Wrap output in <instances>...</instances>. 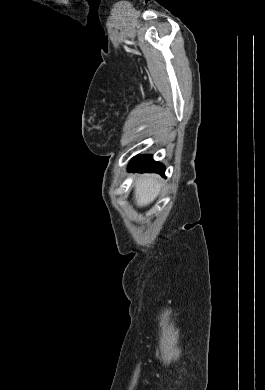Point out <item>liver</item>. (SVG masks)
<instances>
[{
  "instance_id": "obj_1",
  "label": "liver",
  "mask_w": 265,
  "mask_h": 390,
  "mask_svg": "<svg viewBox=\"0 0 265 390\" xmlns=\"http://www.w3.org/2000/svg\"><path fill=\"white\" fill-rule=\"evenodd\" d=\"M160 191L157 175H141L135 181V197L139 207L152 203Z\"/></svg>"
}]
</instances>
